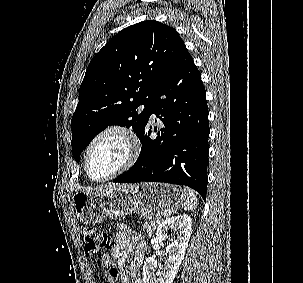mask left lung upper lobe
I'll use <instances>...</instances> for the list:
<instances>
[{
	"label": "left lung upper lobe",
	"instance_id": "1",
	"mask_svg": "<svg viewBox=\"0 0 303 283\" xmlns=\"http://www.w3.org/2000/svg\"><path fill=\"white\" fill-rule=\"evenodd\" d=\"M184 48L176 29L148 20L121 30L94 56L71 120L77 162L108 125L132 127L140 137L149 120L151 98Z\"/></svg>",
	"mask_w": 303,
	"mask_h": 283
}]
</instances>
